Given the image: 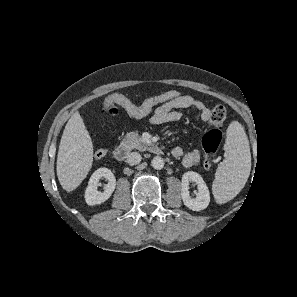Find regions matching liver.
Here are the masks:
<instances>
[{"label":"liver","instance_id":"6515ba94","mask_svg":"<svg viewBox=\"0 0 297 297\" xmlns=\"http://www.w3.org/2000/svg\"><path fill=\"white\" fill-rule=\"evenodd\" d=\"M93 162V144L79 112L68 120L57 155V177L68 192L86 178Z\"/></svg>","mask_w":297,"mask_h":297}]
</instances>
